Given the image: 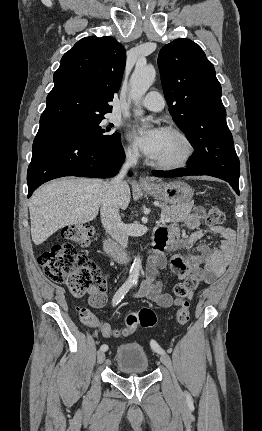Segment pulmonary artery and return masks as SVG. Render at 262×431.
I'll list each match as a JSON object with an SVG mask.
<instances>
[{"instance_id": "1", "label": "pulmonary artery", "mask_w": 262, "mask_h": 431, "mask_svg": "<svg viewBox=\"0 0 262 431\" xmlns=\"http://www.w3.org/2000/svg\"><path fill=\"white\" fill-rule=\"evenodd\" d=\"M141 104L151 111H161L164 108L165 101L159 92H149L141 101Z\"/></svg>"}]
</instances>
